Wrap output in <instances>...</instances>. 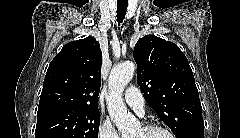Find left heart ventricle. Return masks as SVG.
Masks as SVG:
<instances>
[{
	"mask_svg": "<svg viewBox=\"0 0 240 138\" xmlns=\"http://www.w3.org/2000/svg\"><path fill=\"white\" fill-rule=\"evenodd\" d=\"M133 138H167V135L160 131H145L143 128L138 130Z\"/></svg>",
	"mask_w": 240,
	"mask_h": 138,
	"instance_id": "left-heart-ventricle-1",
	"label": "left heart ventricle"
}]
</instances>
